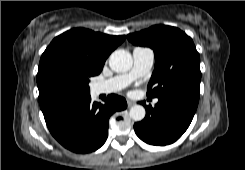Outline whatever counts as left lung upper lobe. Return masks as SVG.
Returning a JSON list of instances; mask_svg holds the SVG:
<instances>
[{"mask_svg": "<svg viewBox=\"0 0 245 170\" xmlns=\"http://www.w3.org/2000/svg\"><path fill=\"white\" fill-rule=\"evenodd\" d=\"M127 38L134 45L148 46L154 50L155 69L147 95H179L199 100L200 56L186 33L176 27L155 25L129 34Z\"/></svg>", "mask_w": 245, "mask_h": 170, "instance_id": "1", "label": "left lung upper lobe"}]
</instances>
